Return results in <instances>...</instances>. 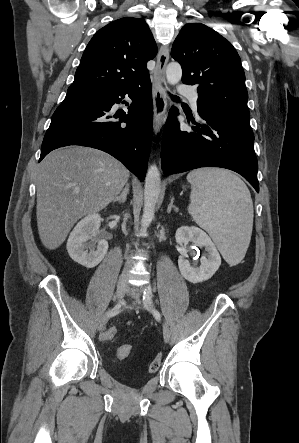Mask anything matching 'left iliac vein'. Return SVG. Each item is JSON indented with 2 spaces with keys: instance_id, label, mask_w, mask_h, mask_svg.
Returning <instances> with one entry per match:
<instances>
[{
  "instance_id": "obj_1",
  "label": "left iliac vein",
  "mask_w": 299,
  "mask_h": 443,
  "mask_svg": "<svg viewBox=\"0 0 299 443\" xmlns=\"http://www.w3.org/2000/svg\"><path fill=\"white\" fill-rule=\"evenodd\" d=\"M147 289H148V288L146 287V288H145V291H146ZM140 291H141V288H140V287H136V288H128V289H127V293H128L129 295L133 296V297H136V298H139V292H140ZM144 307H145L146 309H148V310H154V308L152 307L151 303L148 302V301H146V300L144 301ZM163 337H164V340H165L166 342H169L170 337H171L170 329H169V327H168V325H167L166 323L163 324Z\"/></svg>"
}]
</instances>
